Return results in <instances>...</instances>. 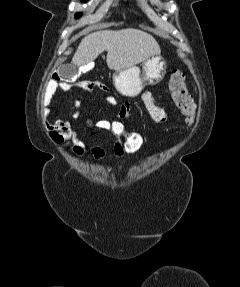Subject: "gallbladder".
<instances>
[{"instance_id": "gallbladder-1", "label": "gallbladder", "mask_w": 240, "mask_h": 287, "mask_svg": "<svg viewBox=\"0 0 240 287\" xmlns=\"http://www.w3.org/2000/svg\"><path fill=\"white\" fill-rule=\"evenodd\" d=\"M61 74L64 78L75 79L80 75V71L77 67L65 66L61 69Z\"/></svg>"}]
</instances>
